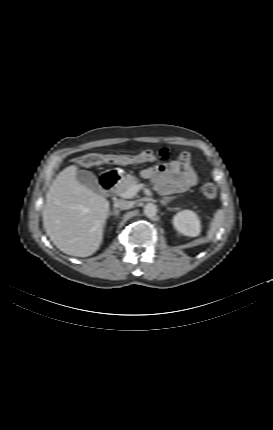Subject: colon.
<instances>
[{"label": "colon", "mask_w": 273, "mask_h": 430, "mask_svg": "<svg viewBox=\"0 0 273 430\" xmlns=\"http://www.w3.org/2000/svg\"><path fill=\"white\" fill-rule=\"evenodd\" d=\"M155 157L156 155L152 150H145L134 155L89 153L78 157L76 163L83 167L103 164H135L153 161ZM200 190L208 199L216 197L217 187L212 182L202 183Z\"/></svg>", "instance_id": "5ec220e1"}]
</instances>
